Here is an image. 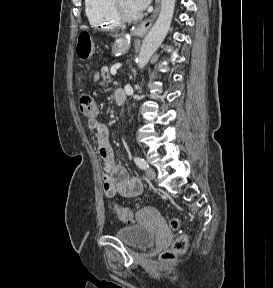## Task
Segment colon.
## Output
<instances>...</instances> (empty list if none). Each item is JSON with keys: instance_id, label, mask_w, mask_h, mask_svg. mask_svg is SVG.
I'll return each instance as SVG.
<instances>
[{"instance_id": "1", "label": "colon", "mask_w": 273, "mask_h": 288, "mask_svg": "<svg viewBox=\"0 0 273 288\" xmlns=\"http://www.w3.org/2000/svg\"><path fill=\"white\" fill-rule=\"evenodd\" d=\"M77 53L83 58L87 59L91 55V40L88 34H81L79 36L78 45H77ZM79 107L84 116L89 118L90 120H95L99 115V107L97 103L93 100V98L87 94L81 93L78 98ZM117 218L125 223H131L134 220L133 212L125 207L114 205L113 207ZM170 226L173 229H177L179 227L178 219H172L170 222ZM187 246V236L185 234L179 236L173 243L170 250L164 251L161 254V259L163 261H171L178 254H181L185 251Z\"/></svg>"}]
</instances>
